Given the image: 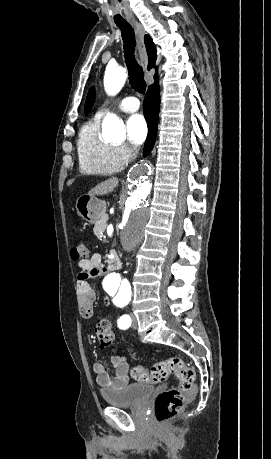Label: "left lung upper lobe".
<instances>
[{
	"label": "left lung upper lobe",
	"instance_id": "1",
	"mask_svg": "<svg viewBox=\"0 0 271 459\" xmlns=\"http://www.w3.org/2000/svg\"><path fill=\"white\" fill-rule=\"evenodd\" d=\"M94 100H95V90L92 87L89 90V93L87 95V99L85 103V110H84L85 113H87L91 109V107L93 106Z\"/></svg>",
	"mask_w": 271,
	"mask_h": 459
}]
</instances>
